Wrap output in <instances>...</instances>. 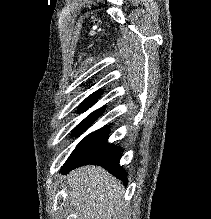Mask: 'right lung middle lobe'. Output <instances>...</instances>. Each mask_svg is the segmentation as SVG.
<instances>
[{
	"instance_id": "obj_1",
	"label": "right lung middle lobe",
	"mask_w": 211,
	"mask_h": 219,
	"mask_svg": "<svg viewBox=\"0 0 211 219\" xmlns=\"http://www.w3.org/2000/svg\"><path fill=\"white\" fill-rule=\"evenodd\" d=\"M94 104V101H84L79 107L80 112L86 111L89 107ZM104 109L100 108L93 113H91L88 117H86L74 130V135H80L85 129L94 123L96 119L103 113Z\"/></svg>"
}]
</instances>
